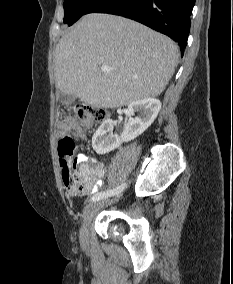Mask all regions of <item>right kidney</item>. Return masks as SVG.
Here are the masks:
<instances>
[{
	"instance_id": "ca27d5eb",
	"label": "right kidney",
	"mask_w": 233,
	"mask_h": 284,
	"mask_svg": "<svg viewBox=\"0 0 233 284\" xmlns=\"http://www.w3.org/2000/svg\"><path fill=\"white\" fill-rule=\"evenodd\" d=\"M161 102L155 98H145L132 102L128 106L125 129L119 137L113 134L114 122L104 121L92 137V147L98 154H106L118 148L123 142H129L141 135L156 119ZM135 113L139 115L132 117Z\"/></svg>"
}]
</instances>
